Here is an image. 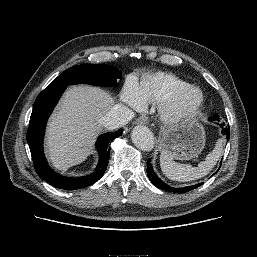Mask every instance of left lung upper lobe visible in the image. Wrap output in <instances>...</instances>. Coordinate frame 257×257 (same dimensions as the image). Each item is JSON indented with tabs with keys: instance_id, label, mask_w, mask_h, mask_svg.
Instances as JSON below:
<instances>
[{
	"instance_id": "1",
	"label": "left lung upper lobe",
	"mask_w": 257,
	"mask_h": 257,
	"mask_svg": "<svg viewBox=\"0 0 257 257\" xmlns=\"http://www.w3.org/2000/svg\"><path fill=\"white\" fill-rule=\"evenodd\" d=\"M209 120H218V116L214 115L213 117H210Z\"/></svg>"
}]
</instances>
